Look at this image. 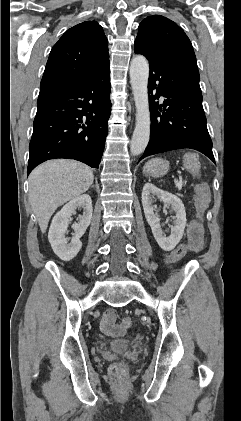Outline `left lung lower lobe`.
<instances>
[{
  "label": "left lung lower lobe",
  "instance_id": "obj_1",
  "mask_svg": "<svg viewBox=\"0 0 241 421\" xmlns=\"http://www.w3.org/2000/svg\"><path fill=\"white\" fill-rule=\"evenodd\" d=\"M134 51L144 55L150 66L151 136L139 160L166 151L191 148L215 163L197 67L189 62L156 56L137 43ZM160 96L165 98L161 105L155 102Z\"/></svg>",
  "mask_w": 241,
  "mask_h": 421
}]
</instances>
